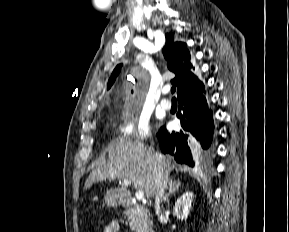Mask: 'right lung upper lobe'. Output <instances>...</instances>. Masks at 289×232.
Returning a JSON list of instances; mask_svg holds the SVG:
<instances>
[{
    "label": "right lung upper lobe",
    "mask_w": 289,
    "mask_h": 232,
    "mask_svg": "<svg viewBox=\"0 0 289 232\" xmlns=\"http://www.w3.org/2000/svg\"><path fill=\"white\" fill-rule=\"evenodd\" d=\"M163 54L167 60V66L174 72L176 77L172 80L177 88L178 100L188 94H193L205 90L203 83L194 74L195 68L190 63V54L187 45L182 42H174L173 34H166V44L163 48ZM121 70L118 65L108 82V89L115 81L116 76Z\"/></svg>",
    "instance_id": "cb5924a9"
}]
</instances>
